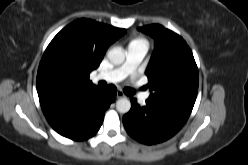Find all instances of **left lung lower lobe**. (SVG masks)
I'll return each mask as SVG.
<instances>
[{"label": "left lung lower lobe", "mask_w": 248, "mask_h": 165, "mask_svg": "<svg viewBox=\"0 0 248 165\" xmlns=\"http://www.w3.org/2000/svg\"><path fill=\"white\" fill-rule=\"evenodd\" d=\"M189 116L188 112L148 99L145 106H140L132 98L131 109L123 116V124L132 138L151 145L174 136Z\"/></svg>", "instance_id": "left-lung-lower-lobe-1"}]
</instances>
